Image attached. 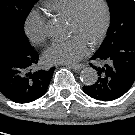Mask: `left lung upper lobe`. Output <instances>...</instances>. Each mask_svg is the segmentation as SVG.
Here are the masks:
<instances>
[{"label":"left lung upper lobe","mask_w":135,"mask_h":135,"mask_svg":"<svg viewBox=\"0 0 135 135\" xmlns=\"http://www.w3.org/2000/svg\"><path fill=\"white\" fill-rule=\"evenodd\" d=\"M107 2L111 23L99 50L107 49L127 38H135V2L133 0H107Z\"/></svg>","instance_id":"1"}]
</instances>
